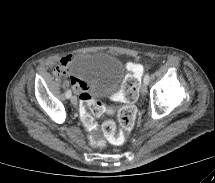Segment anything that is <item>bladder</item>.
<instances>
[{
	"label": "bladder",
	"instance_id": "obj_1",
	"mask_svg": "<svg viewBox=\"0 0 215 183\" xmlns=\"http://www.w3.org/2000/svg\"><path fill=\"white\" fill-rule=\"evenodd\" d=\"M69 69L89 84L90 94L95 97L116 93L126 75L122 60L102 51H88L75 55Z\"/></svg>",
	"mask_w": 215,
	"mask_h": 183
}]
</instances>
